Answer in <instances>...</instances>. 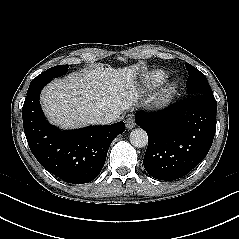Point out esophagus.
Listing matches in <instances>:
<instances>
[{
  "instance_id": "34e87169",
  "label": "esophagus",
  "mask_w": 239,
  "mask_h": 239,
  "mask_svg": "<svg viewBox=\"0 0 239 239\" xmlns=\"http://www.w3.org/2000/svg\"><path fill=\"white\" fill-rule=\"evenodd\" d=\"M125 125L128 130L132 129L135 126V121L132 115L128 116L125 120Z\"/></svg>"
}]
</instances>
